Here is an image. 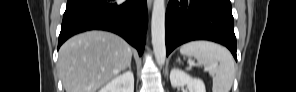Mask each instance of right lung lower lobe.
Segmentation results:
<instances>
[{
    "mask_svg": "<svg viewBox=\"0 0 296 92\" xmlns=\"http://www.w3.org/2000/svg\"><path fill=\"white\" fill-rule=\"evenodd\" d=\"M146 0H68L58 49L69 37L87 30H106L123 37L139 55L147 30Z\"/></svg>",
    "mask_w": 296,
    "mask_h": 92,
    "instance_id": "obj_1",
    "label": "right lung lower lobe"
}]
</instances>
